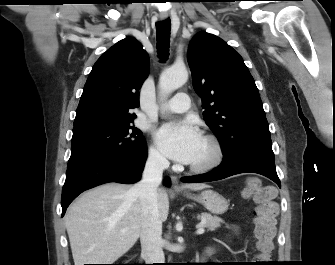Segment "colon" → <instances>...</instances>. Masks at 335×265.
Returning <instances> with one entry per match:
<instances>
[{"mask_svg":"<svg viewBox=\"0 0 335 265\" xmlns=\"http://www.w3.org/2000/svg\"><path fill=\"white\" fill-rule=\"evenodd\" d=\"M244 195L256 203L255 236L258 254L257 265H269L270 256L274 249L275 223L277 206L274 202L275 192L261 183L256 177L248 179Z\"/></svg>","mask_w":335,"mask_h":265,"instance_id":"5ec220e1","label":"colon"}]
</instances>
